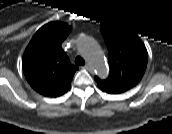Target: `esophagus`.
Masks as SVG:
<instances>
[{"mask_svg":"<svg viewBox=\"0 0 172 134\" xmlns=\"http://www.w3.org/2000/svg\"><path fill=\"white\" fill-rule=\"evenodd\" d=\"M83 68L87 69V70H91L89 64H86Z\"/></svg>","mask_w":172,"mask_h":134,"instance_id":"obj_1","label":"esophagus"}]
</instances>
